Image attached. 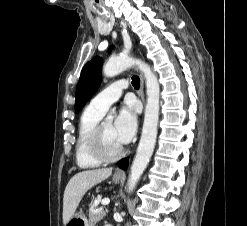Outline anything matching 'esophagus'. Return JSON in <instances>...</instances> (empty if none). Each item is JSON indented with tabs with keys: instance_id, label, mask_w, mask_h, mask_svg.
<instances>
[{
	"instance_id": "esophagus-1",
	"label": "esophagus",
	"mask_w": 247,
	"mask_h": 226,
	"mask_svg": "<svg viewBox=\"0 0 247 226\" xmlns=\"http://www.w3.org/2000/svg\"><path fill=\"white\" fill-rule=\"evenodd\" d=\"M139 95L142 99V101L144 102V79L142 74H140V91H139ZM117 175H124V172L122 170H117L116 172Z\"/></svg>"
}]
</instances>
